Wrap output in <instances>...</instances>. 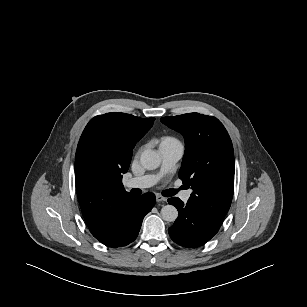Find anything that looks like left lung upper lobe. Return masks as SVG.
I'll list each match as a JSON object with an SVG mask.
<instances>
[{"instance_id": "obj_1", "label": "left lung upper lobe", "mask_w": 307, "mask_h": 307, "mask_svg": "<svg viewBox=\"0 0 307 307\" xmlns=\"http://www.w3.org/2000/svg\"><path fill=\"white\" fill-rule=\"evenodd\" d=\"M160 120L185 139L179 177L193 189L187 203L221 225L234 190V151L228 132L217 118L199 113Z\"/></svg>"}]
</instances>
